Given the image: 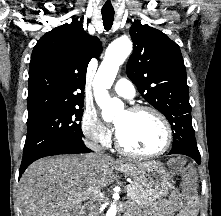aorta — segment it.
I'll return each mask as SVG.
<instances>
[{
	"instance_id": "762f6f07",
	"label": "aorta",
	"mask_w": 221,
	"mask_h": 216,
	"mask_svg": "<svg viewBox=\"0 0 221 216\" xmlns=\"http://www.w3.org/2000/svg\"><path fill=\"white\" fill-rule=\"evenodd\" d=\"M132 51V42L128 37L114 40L107 48L105 58L102 61L93 81V89L96 103L102 110L105 121H111L123 110V103L118 99H112L108 89L112 86L119 66L124 63ZM116 199V197H114ZM117 207L113 202L106 216H116Z\"/></svg>"
}]
</instances>
